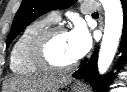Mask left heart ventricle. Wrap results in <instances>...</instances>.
Wrapping results in <instances>:
<instances>
[{
  "instance_id": "b2bd125f",
  "label": "left heart ventricle",
  "mask_w": 127,
  "mask_h": 92,
  "mask_svg": "<svg viewBox=\"0 0 127 92\" xmlns=\"http://www.w3.org/2000/svg\"><path fill=\"white\" fill-rule=\"evenodd\" d=\"M49 55L51 60L58 65H67L76 60L69 46L68 33H60L53 38Z\"/></svg>"
}]
</instances>
